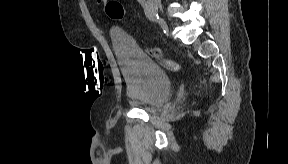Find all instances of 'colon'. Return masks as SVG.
Listing matches in <instances>:
<instances>
[{
    "label": "colon",
    "mask_w": 288,
    "mask_h": 164,
    "mask_svg": "<svg viewBox=\"0 0 288 164\" xmlns=\"http://www.w3.org/2000/svg\"><path fill=\"white\" fill-rule=\"evenodd\" d=\"M107 13L112 19H121L124 16V9L118 1H115L108 5ZM148 54L152 59L160 61L172 71H179L181 69V65L178 62L165 58L162 53L156 49H150Z\"/></svg>",
    "instance_id": "colon-1"
}]
</instances>
